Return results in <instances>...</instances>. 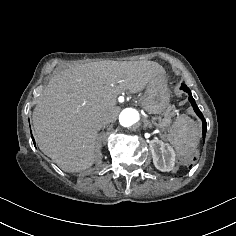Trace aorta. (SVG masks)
Listing matches in <instances>:
<instances>
[{"label": "aorta", "instance_id": "aorta-1", "mask_svg": "<svg viewBox=\"0 0 236 236\" xmlns=\"http://www.w3.org/2000/svg\"><path fill=\"white\" fill-rule=\"evenodd\" d=\"M139 119V112L133 108H125L119 115V122L123 127H130L137 123Z\"/></svg>", "mask_w": 236, "mask_h": 236}]
</instances>
